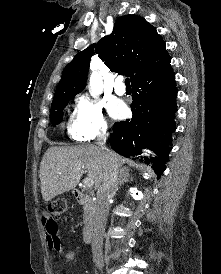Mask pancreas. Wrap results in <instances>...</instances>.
<instances>
[{
	"label": "pancreas",
	"mask_w": 221,
	"mask_h": 274,
	"mask_svg": "<svg viewBox=\"0 0 221 274\" xmlns=\"http://www.w3.org/2000/svg\"><path fill=\"white\" fill-rule=\"evenodd\" d=\"M88 209H89V206H85V207H84V211H85V212H87Z\"/></svg>",
	"instance_id": "1"
}]
</instances>
